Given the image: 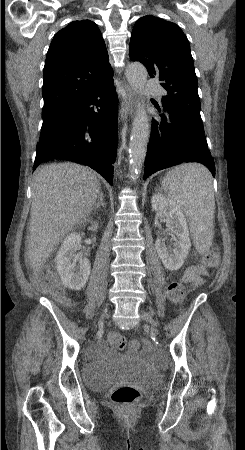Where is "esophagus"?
Masks as SVG:
<instances>
[{
	"label": "esophagus",
	"instance_id": "obj_1",
	"mask_svg": "<svg viewBox=\"0 0 245 450\" xmlns=\"http://www.w3.org/2000/svg\"><path fill=\"white\" fill-rule=\"evenodd\" d=\"M124 90L127 95V100L125 101V99H122L121 102V109H120L121 120H123L125 112H127L129 115H132L134 103V93L127 86L124 87Z\"/></svg>",
	"mask_w": 245,
	"mask_h": 450
}]
</instances>
